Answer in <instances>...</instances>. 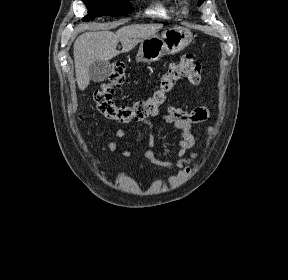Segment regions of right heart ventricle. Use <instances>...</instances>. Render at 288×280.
Here are the masks:
<instances>
[{"mask_svg": "<svg viewBox=\"0 0 288 280\" xmlns=\"http://www.w3.org/2000/svg\"><path fill=\"white\" fill-rule=\"evenodd\" d=\"M147 13L160 18H171L179 14V5L176 2H156Z\"/></svg>", "mask_w": 288, "mask_h": 280, "instance_id": "obj_1", "label": "right heart ventricle"}]
</instances>
